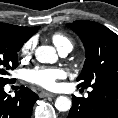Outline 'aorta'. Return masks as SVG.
Instances as JSON below:
<instances>
[{
	"mask_svg": "<svg viewBox=\"0 0 118 118\" xmlns=\"http://www.w3.org/2000/svg\"><path fill=\"white\" fill-rule=\"evenodd\" d=\"M35 57L41 63H54L57 59L55 49L50 46H40L35 50ZM72 105L71 100L65 96L57 97L55 107L60 112H67Z\"/></svg>",
	"mask_w": 118,
	"mask_h": 118,
	"instance_id": "762f6f07",
	"label": "aorta"
}]
</instances>
